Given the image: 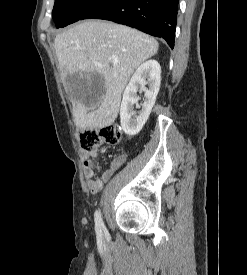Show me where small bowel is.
Returning <instances> with one entry per match:
<instances>
[{
  "instance_id": "obj_1",
  "label": "small bowel",
  "mask_w": 247,
  "mask_h": 275,
  "mask_svg": "<svg viewBox=\"0 0 247 275\" xmlns=\"http://www.w3.org/2000/svg\"><path fill=\"white\" fill-rule=\"evenodd\" d=\"M90 155L91 154L86 151L82 153L83 173L90 192L96 194L103 188V184L112 176V174L121 167L126 158L124 155L116 156L110 161L108 166L97 175L95 165L91 160Z\"/></svg>"
}]
</instances>
